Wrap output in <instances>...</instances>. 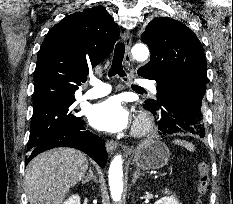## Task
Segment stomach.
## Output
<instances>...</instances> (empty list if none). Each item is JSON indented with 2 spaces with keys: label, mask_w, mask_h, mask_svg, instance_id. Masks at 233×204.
I'll use <instances>...</instances> for the list:
<instances>
[{
  "label": "stomach",
  "mask_w": 233,
  "mask_h": 204,
  "mask_svg": "<svg viewBox=\"0 0 233 204\" xmlns=\"http://www.w3.org/2000/svg\"><path fill=\"white\" fill-rule=\"evenodd\" d=\"M170 158L168 147L161 141L142 143L134 153V162L142 170H156L164 167Z\"/></svg>",
  "instance_id": "stomach-1"
}]
</instances>
